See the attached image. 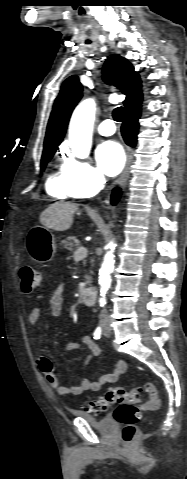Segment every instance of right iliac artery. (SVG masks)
Listing matches in <instances>:
<instances>
[{
    "label": "right iliac artery",
    "mask_w": 187,
    "mask_h": 479,
    "mask_svg": "<svg viewBox=\"0 0 187 479\" xmlns=\"http://www.w3.org/2000/svg\"><path fill=\"white\" fill-rule=\"evenodd\" d=\"M101 335H102V329L101 327H97L93 333L94 339H100Z\"/></svg>",
    "instance_id": "82829eb1"
}]
</instances>
